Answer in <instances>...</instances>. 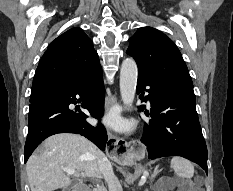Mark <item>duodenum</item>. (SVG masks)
Wrapping results in <instances>:
<instances>
[{"mask_svg":"<svg viewBox=\"0 0 233 191\" xmlns=\"http://www.w3.org/2000/svg\"><path fill=\"white\" fill-rule=\"evenodd\" d=\"M74 191H92L89 186L80 185L74 189Z\"/></svg>","mask_w":233,"mask_h":191,"instance_id":"obj_1","label":"duodenum"}]
</instances>
